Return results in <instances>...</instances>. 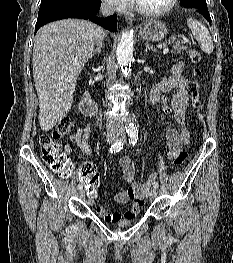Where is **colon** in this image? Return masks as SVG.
Listing matches in <instances>:
<instances>
[{
  "instance_id": "colon-1",
  "label": "colon",
  "mask_w": 233,
  "mask_h": 263,
  "mask_svg": "<svg viewBox=\"0 0 233 263\" xmlns=\"http://www.w3.org/2000/svg\"><path fill=\"white\" fill-rule=\"evenodd\" d=\"M189 58L194 64H198L201 60V55L196 50L189 51ZM192 75L194 78H199L201 76V70L199 68H194L192 70ZM191 96H192V105L194 108L200 107V98L198 93V84L194 80L189 86ZM72 119L70 117L62 118L53 128L50 133H45L40 136V147L42 153V159L47 164V166L56 173L63 174L62 179L68 180V174L71 171V163L68 156L62 152L60 139L67 135L72 128ZM187 158V154L183 151L180 152L173 160L172 166L174 168L180 167ZM73 178L76 180V183H85L86 190H81V195H90L91 199H96L97 195L96 190L98 186V173L97 171H80L76 173ZM153 176H150L147 180L150 183V180Z\"/></svg>"
}]
</instances>
